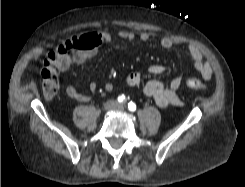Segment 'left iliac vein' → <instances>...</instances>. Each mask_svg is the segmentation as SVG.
I'll return each instance as SVG.
<instances>
[{
  "label": "left iliac vein",
  "mask_w": 245,
  "mask_h": 187,
  "mask_svg": "<svg viewBox=\"0 0 245 187\" xmlns=\"http://www.w3.org/2000/svg\"><path fill=\"white\" fill-rule=\"evenodd\" d=\"M115 109L118 110V111H122L124 109V106L122 104H117Z\"/></svg>",
  "instance_id": "left-iliac-vein-1"
}]
</instances>
